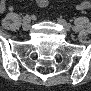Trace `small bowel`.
Wrapping results in <instances>:
<instances>
[{
	"instance_id": "c3829d8e",
	"label": "small bowel",
	"mask_w": 91,
	"mask_h": 91,
	"mask_svg": "<svg viewBox=\"0 0 91 91\" xmlns=\"http://www.w3.org/2000/svg\"><path fill=\"white\" fill-rule=\"evenodd\" d=\"M37 3H38L39 6L44 7V6L47 5V0H38ZM90 6H91V5H90V2H89V1L83 0V1H81V2L77 5V9H78V10H87V9L90 8ZM5 10H6L5 5H1V6H0V11H1V12H4Z\"/></svg>"
}]
</instances>
